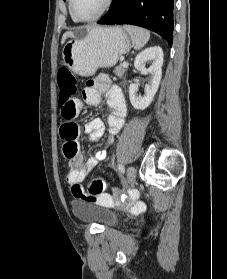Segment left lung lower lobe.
Returning a JSON list of instances; mask_svg holds the SVG:
<instances>
[{"label": "left lung lower lobe", "mask_w": 227, "mask_h": 279, "mask_svg": "<svg viewBox=\"0 0 227 279\" xmlns=\"http://www.w3.org/2000/svg\"><path fill=\"white\" fill-rule=\"evenodd\" d=\"M173 0H113L99 24H131L147 28L173 42Z\"/></svg>", "instance_id": "1"}]
</instances>
